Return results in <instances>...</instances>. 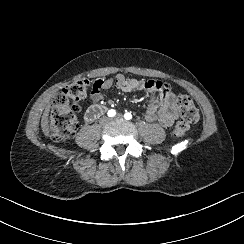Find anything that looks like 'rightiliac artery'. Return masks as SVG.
Wrapping results in <instances>:
<instances>
[{
    "instance_id": "obj_1",
    "label": "right iliac artery",
    "mask_w": 244,
    "mask_h": 244,
    "mask_svg": "<svg viewBox=\"0 0 244 244\" xmlns=\"http://www.w3.org/2000/svg\"><path fill=\"white\" fill-rule=\"evenodd\" d=\"M107 114H108L109 117H114L116 115V111L111 109V110L108 111Z\"/></svg>"
}]
</instances>
